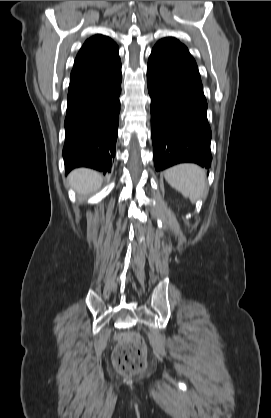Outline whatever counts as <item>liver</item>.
Listing matches in <instances>:
<instances>
[{"label":"liver","instance_id":"liver-1","mask_svg":"<svg viewBox=\"0 0 271 418\" xmlns=\"http://www.w3.org/2000/svg\"><path fill=\"white\" fill-rule=\"evenodd\" d=\"M68 181L78 194L87 195L100 188L103 178L94 170L78 168L70 173Z\"/></svg>","mask_w":271,"mask_h":418}]
</instances>
